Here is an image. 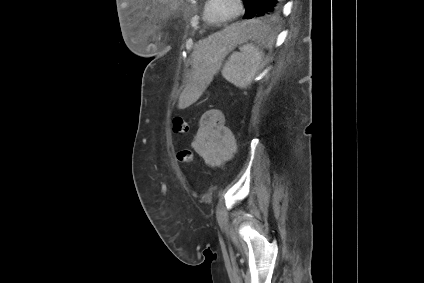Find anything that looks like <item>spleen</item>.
<instances>
[{
  "label": "spleen",
  "instance_id": "obj_1",
  "mask_svg": "<svg viewBox=\"0 0 424 283\" xmlns=\"http://www.w3.org/2000/svg\"><path fill=\"white\" fill-rule=\"evenodd\" d=\"M246 27L247 34L240 43L246 42L239 47L240 52H233L228 61L223 66L221 71L222 76L235 86L239 88H247L254 80L257 71L263 62L264 52L255 44L261 37L267 35L265 30L259 22H247L243 25ZM252 40L247 43V40ZM220 65L216 68L214 73L219 70Z\"/></svg>",
  "mask_w": 424,
  "mask_h": 283
}]
</instances>
